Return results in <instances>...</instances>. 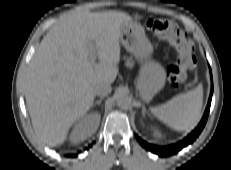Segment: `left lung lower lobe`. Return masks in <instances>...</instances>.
I'll use <instances>...</instances> for the list:
<instances>
[{
	"label": "left lung lower lobe",
	"instance_id": "1",
	"mask_svg": "<svg viewBox=\"0 0 231 170\" xmlns=\"http://www.w3.org/2000/svg\"><path fill=\"white\" fill-rule=\"evenodd\" d=\"M211 79H212V75H211ZM212 95H213V83H212V87H211V93H210V97H209V101L207 104V108L205 110L204 116L201 120V122L199 123V125L197 126V128L190 133L185 139H183L182 141L170 145V146H155V145H151L146 143L145 141H143L140 137H137V140L139 141V143L146 148L147 150L156 153L160 156H167V155H172L177 153L178 151H180L183 147L187 146L188 144L192 143L197 137L198 135L201 133V131L203 130L207 118H208V114H209V110H210V105H211V99H212Z\"/></svg>",
	"mask_w": 231,
	"mask_h": 170
}]
</instances>
